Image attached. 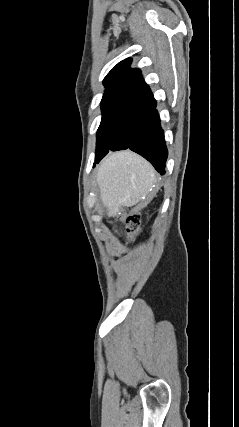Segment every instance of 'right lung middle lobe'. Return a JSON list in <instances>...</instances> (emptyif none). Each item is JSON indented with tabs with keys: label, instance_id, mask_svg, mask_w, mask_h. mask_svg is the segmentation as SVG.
Returning <instances> with one entry per match:
<instances>
[{
	"label": "right lung middle lobe",
	"instance_id": "obj_1",
	"mask_svg": "<svg viewBox=\"0 0 239 427\" xmlns=\"http://www.w3.org/2000/svg\"><path fill=\"white\" fill-rule=\"evenodd\" d=\"M102 120L96 134L95 162L109 151L128 146L134 129L150 110V102L137 98L101 101Z\"/></svg>",
	"mask_w": 239,
	"mask_h": 427
}]
</instances>
